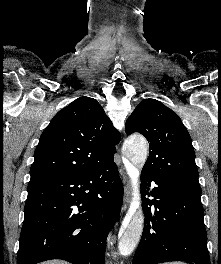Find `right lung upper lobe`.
<instances>
[{"label": "right lung upper lobe", "mask_w": 221, "mask_h": 264, "mask_svg": "<svg viewBox=\"0 0 221 264\" xmlns=\"http://www.w3.org/2000/svg\"><path fill=\"white\" fill-rule=\"evenodd\" d=\"M120 133L102 106L87 96L60 110L43 131L34 153L29 184L87 172L114 157Z\"/></svg>", "instance_id": "cb5924a9"}]
</instances>
